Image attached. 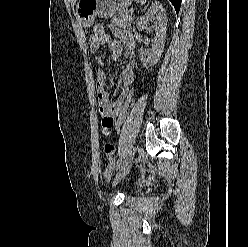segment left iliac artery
<instances>
[{
    "mask_svg": "<svg viewBox=\"0 0 248 247\" xmlns=\"http://www.w3.org/2000/svg\"><path fill=\"white\" fill-rule=\"evenodd\" d=\"M122 164V158H120L118 161H117V169L120 168V165Z\"/></svg>",
    "mask_w": 248,
    "mask_h": 247,
    "instance_id": "left-iliac-artery-1",
    "label": "left iliac artery"
}]
</instances>
